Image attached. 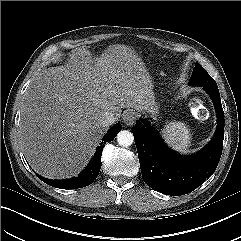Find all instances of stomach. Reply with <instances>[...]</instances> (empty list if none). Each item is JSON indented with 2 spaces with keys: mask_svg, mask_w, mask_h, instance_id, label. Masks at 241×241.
<instances>
[{
  "mask_svg": "<svg viewBox=\"0 0 241 241\" xmlns=\"http://www.w3.org/2000/svg\"><path fill=\"white\" fill-rule=\"evenodd\" d=\"M149 112H151V113H153L154 112V110H153V108H149V110H148Z\"/></svg>",
  "mask_w": 241,
  "mask_h": 241,
  "instance_id": "1",
  "label": "stomach"
}]
</instances>
